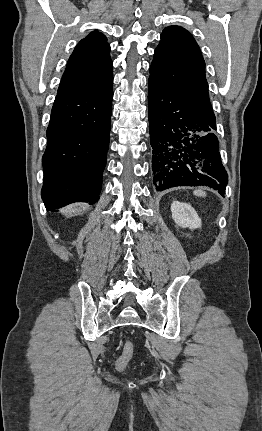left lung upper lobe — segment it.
I'll use <instances>...</instances> for the list:
<instances>
[{"mask_svg":"<svg viewBox=\"0 0 262 431\" xmlns=\"http://www.w3.org/2000/svg\"><path fill=\"white\" fill-rule=\"evenodd\" d=\"M150 81L177 94L203 117L215 120L205 76V62L193 36L180 26L163 30L150 67Z\"/></svg>","mask_w":262,"mask_h":431,"instance_id":"left-lung-upper-lobe-1","label":"left lung upper lobe"}]
</instances>
